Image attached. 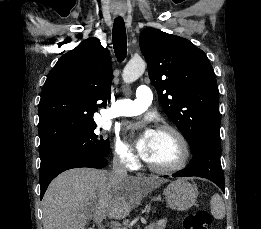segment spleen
Listing matches in <instances>:
<instances>
[{"label":"spleen","mask_w":261,"mask_h":229,"mask_svg":"<svg viewBox=\"0 0 261 229\" xmlns=\"http://www.w3.org/2000/svg\"><path fill=\"white\" fill-rule=\"evenodd\" d=\"M210 205L214 219H223V217H225V205L220 195H213Z\"/></svg>","instance_id":"1"}]
</instances>
